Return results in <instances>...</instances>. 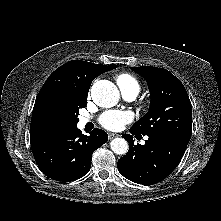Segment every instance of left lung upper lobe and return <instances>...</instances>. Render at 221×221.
I'll return each mask as SVG.
<instances>
[{"instance_id": "left-lung-upper-lobe-1", "label": "left lung upper lobe", "mask_w": 221, "mask_h": 221, "mask_svg": "<svg viewBox=\"0 0 221 221\" xmlns=\"http://www.w3.org/2000/svg\"><path fill=\"white\" fill-rule=\"evenodd\" d=\"M146 79L151 92L148 113L130 131L162 136L187 145L192 131V107L182 82L168 70L157 67H131Z\"/></svg>"}]
</instances>
